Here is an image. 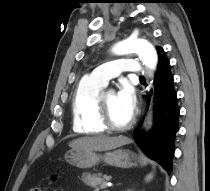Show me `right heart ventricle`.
Masks as SVG:
<instances>
[{
	"label": "right heart ventricle",
	"instance_id": "obj_1",
	"mask_svg": "<svg viewBox=\"0 0 210 191\" xmlns=\"http://www.w3.org/2000/svg\"><path fill=\"white\" fill-rule=\"evenodd\" d=\"M104 85L83 78L72 100L73 130L79 135H99L105 132L98 120V99Z\"/></svg>",
	"mask_w": 210,
	"mask_h": 191
}]
</instances>
